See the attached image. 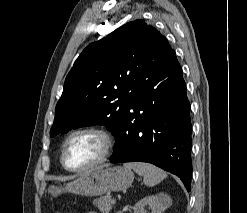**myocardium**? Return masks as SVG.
<instances>
[{"mask_svg":"<svg viewBox=\"0 0 247 213\" xmlns=\"http://www.w3.org/2000/svg\"><path fill=\"white\" fill-rule=\"evenodd\" d=\"M83 133H91V134H95L99 136L103 142V150L101 152V155L98 157V159L95 160L93 163L87 166H84V167H80V168H72L68 166L65 160L66 147H67L68 142L74 136L78 134H83ZM114 145H115L114 137L111 134V132L108 131L107 129L102 128V127H95V126L81 127V128L71 131L64 139L62 147H61L60 161H61L62 166L69 172H73V173L87 172L105 163L111 156L113 149H114Z\"/></svg>","mask_w":247,"mask_h":213,"instance_id":"myocardium-1","label":"myocardium"}]
</instances>
